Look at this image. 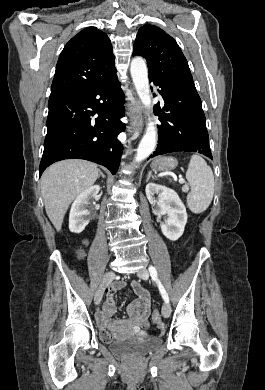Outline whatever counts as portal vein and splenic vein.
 Here are the masks:
<instances>
[{
    "label": "portal vein and splenic vein",
    "mask_w": 265,
    "mask_h": 390,
    "mask_svg": "<svg viewBox=\"0 0 265 390\" xmlns=\"http://www.w3.org/2000/svg\"><path fill=\"white\" fill-rule=\"evenodd\" d=\"M184 182H185V180L182 178V176H180V177H179V183L182 184V183H184ZM185 189L188 190V188H185Z\"/></svg>",
    "instance_id": "obj_1"
}]
</instances>
